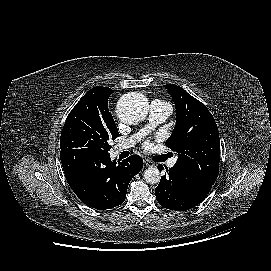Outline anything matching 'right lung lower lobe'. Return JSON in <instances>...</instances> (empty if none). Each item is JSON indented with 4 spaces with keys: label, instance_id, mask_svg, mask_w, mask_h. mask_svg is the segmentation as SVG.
Returning a JSON list of instances; mask_svg holds the SVG:
<instances>
[{
    "label": "right lung lower lobe",
    "instance_id": "1",
    "mask_svg": "<svg viewBox=\"0 0 271 271\" xmlns=\"http://www.w3.org/2000/svg\"><path fill=\"white\" fill-rule=\"evenodd\" d=\"M66 180L89 207L104 210L123 203L131 179L142 169L141 157L132 155L122 162L111 161L110 154L61 150Z\"/></svg>",
    "mask_w": 271,
    "mask_h": 271
}]
</instances>
